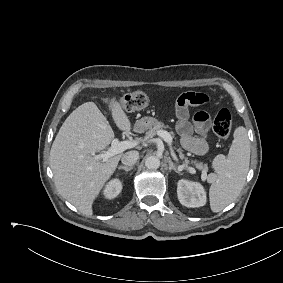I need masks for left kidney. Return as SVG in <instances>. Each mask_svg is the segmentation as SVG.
<instances>
[{
    "mask_svg": "<svg viewBox=\"0 0 283 283\" xmlns=\"http://www.w3.org/2000/svg\"><path fill=\"white\" fill-rule=\"evenodd\" d=\"M177 195L180 203L189 208L204 206L206 203V192L198 182L180 180Z\"/></svg>",
    "mask_w": 283,
    "mask_h": 283,
    "instance_id": "5707ae66",
    "label": "left kidney"
}]
</instances>
